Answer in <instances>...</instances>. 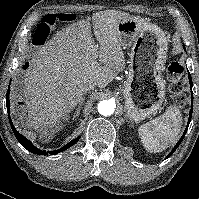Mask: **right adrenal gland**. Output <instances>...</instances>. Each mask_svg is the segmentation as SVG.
Returning <instances> with one entry per match:
<instances>
[{
	"instance_id": "obj_1",
	"label": "right adrenal gland",
	"mask_w": 199,
	"mask_h": 199,
	"mask_svg": "<svg viewBox=\"0 0 199 199\" xmlns=\"http://www.w3.org/2000/svg\"><path fill=\"white\" fill-rule=\"evenodd\" d=\"M84 99H85V98H82V100L80 101L78 107L76 108L75 116H77V115L79 114L80 109H81V107H82V104H83V102H84Z\"/></svg>"
}]
</instances>
